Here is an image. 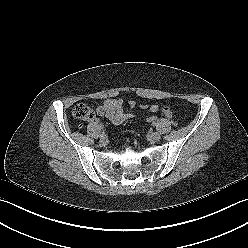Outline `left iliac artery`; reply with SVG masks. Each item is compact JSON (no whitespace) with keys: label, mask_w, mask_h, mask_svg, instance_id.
<instances>
[{"label":"left iliac artery","mask_w":248,"mask_h":248,"mask_svg":"<svg viewBox=\"0 0 248 248\" xmlns=\"http://www.w3.org/2000/svg\"><path fill=\"white\" fill-rule=\"evenodd\" d=\"M152 125L155 126L156 125V122H153Z\"/></svg>","instance_id":"left-iliac-artery-1"}]
</instances>
